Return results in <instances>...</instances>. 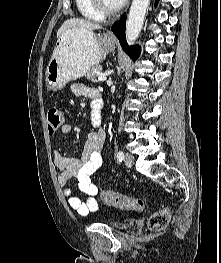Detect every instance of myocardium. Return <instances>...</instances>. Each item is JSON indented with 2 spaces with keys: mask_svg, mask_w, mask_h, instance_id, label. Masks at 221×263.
Returning a JSON list of instances; mask_svg holds the SVG:
<instances>
[{
  "mask_svg": "<svg viewBox=\"0 0 221 263\" xmlns=\"http://www.w3.org/2000/svg\"><path fill=\"white\" fill-rule=\"evenodd\" d=\"M92 6L104 17L105 16H111V15H115L116 13H118L123 4H119L117 7L114 8H110L108 6L105 5L103 0H90Z\"/></svg>",
  "mask_w": 221,
  "mask_h": 263,
  "instance_id": "1",
  "label": "myocardium"
}]
</instances>
